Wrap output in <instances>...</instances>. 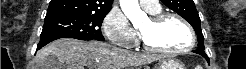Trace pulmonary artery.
I'll return each mask as SVG.
<instances>
[{
	"label": "pulmonary artery",
	"instance_id": "obj_1",
	"mask_svg": "<svg viewBox=\"0 0 246 69\" xmlns=\"http://www.w3.org/2000/svg\"><path fill=\"white\" fill-rule=\"evenodd\" d=\"M140 3L142 8L149 13L156 12L160 9L159 2L156 0H142Z\"/></svg>",
	"mask_w": 246,
	"mask_h": 69
}]
</instances>
